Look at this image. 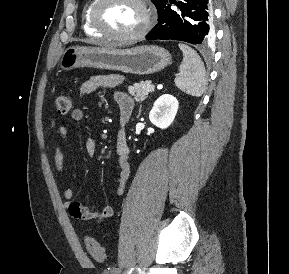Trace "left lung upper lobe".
Instances as JSON below:
<instances>
[{
  "label": "left lung upper lobe",
  "instance_id": "5c2ea615",
  "mask_svg": "<svg viewBox=\"0 0 289 274\" xmlns=\"http://www.w3.org/2000/svg\"><path fill=\"white\" fill-rule=\"evenodd\" d=\"M159 12L161 8L166 4L167 0H151Z\"/></svg>",
  "mask_w": 289,
  "mask_h": 274
}]
</instances>
